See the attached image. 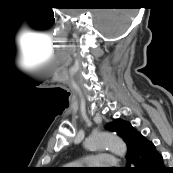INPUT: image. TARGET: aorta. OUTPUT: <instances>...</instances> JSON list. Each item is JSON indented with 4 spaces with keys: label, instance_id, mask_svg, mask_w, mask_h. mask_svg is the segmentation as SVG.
Returning a JSON list of instances; mask_svg holds the SVG:
<instances>
[{
    "label": "aorta",
    "instance_id": "762f6f07",
    "mask_svg": "<svg viewBox=\"0 0 173 173\" xmlns=\"http://www.w3.org/2000/svg\"><path fill=\"white\" fill-rule=\"evenodd\" d=\"M85 146L90 151L108 149L113 154L124 157L127 153L125 142L117 135L109 132H97L86 141Z\"/></svg>",
    "mask_w": 173,
    "mask_h": 173
}]
</instances>
